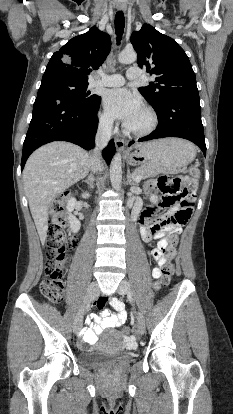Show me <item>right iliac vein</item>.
<instances>
[{"mask_svg":"<svg viewBox=\"0 0 233 414\" xmlns=\"http://www.w3.org/2000/svg\"><path fill=\"white\" fill-rule=\"evenodd\" d=\"M98 284L96 282H92L86 291L85 294V298H84V304H87L91 301H93L96 296L98 295ZM83 313H84V307H82L79 312L76 314L75 318H74V322H73V331L75 333H78L79 330L82 327V322H83Z\"/></svg>","mask_w":233,"mask_h":414,"instance_id":"right-iliac-vein-1","label":"right iliac vein"}]
</instances>
